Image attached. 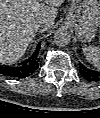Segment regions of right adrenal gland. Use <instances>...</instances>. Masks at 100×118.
<instances>
[{
    "instance_id": "1",
    "label": "right adrenal gland",
    "mask_w": 100,
    "mask_h": 118,
    "mask_svg": "<svg viewBox=\"0 0 100 118\" xmlns=\"http://www.w3.org/2000/svg\"><path fill=\"white\" fill-rule=\"evenodd\" d=\"M35 41V35L33 36V39L30 42V46H32L33 42Z\"/></svg>"
}]
</instances>
